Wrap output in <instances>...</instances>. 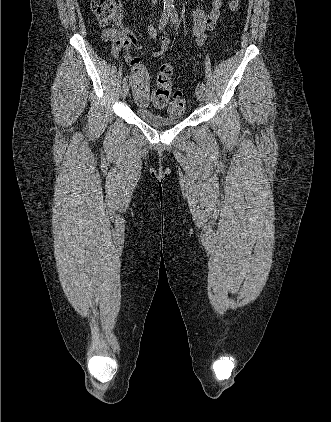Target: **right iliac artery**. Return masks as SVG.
Here are the masks:
<instances>
[{"label":"right iliac artery","instance_id":"right-iliac-artery-1","mask_svg":"<svg viewBox=\"0 0 331 422\" xmlns=\"http://www.w3.org/2000/svg\"><path fill=\"white\" fill-rule=\"evenodd\" d=\"M169 15H170V12L168 11H164L162 13L160 24H159V30L163 29V27L166 26V24L168 23ZM125 84H127V76L123 78V85Z\"/></svg>","mask_w":331,"mask_h":422}]
</instances>
